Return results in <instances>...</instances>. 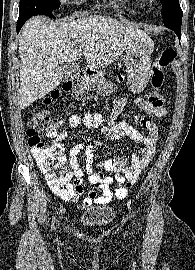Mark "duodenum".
Wrapping results in <instances>:
<instances>
[{
  "mask_svg": "<svg viewBox=\"0 0 195 270\" xmlns=\"http://www.w3.org/2000/svg\"><path fill=\"white\" fill-rule=\"evenodd\" d=\"M86 74L88 78H92L94 76V71L92 69H87Z\"/></svg>",
  "mask_w": 195,
  "mask_h": 270,
  "instance_id": "1",
  "label": "duodenum"
}]
</instances>
